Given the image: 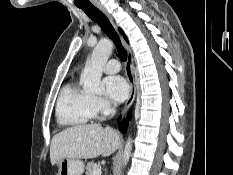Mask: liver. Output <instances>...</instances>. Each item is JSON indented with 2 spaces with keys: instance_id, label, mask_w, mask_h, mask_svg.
Listing matches in <instances>:
<instances>
[{
  "instance_id": "6515ba94",
  "label": "liver",
  "mask_w": 233,
  "mask_h": 175,
  "mask_svg": "<svg viewBox=\"0 0 233 175\" xmlns=\"http://www.w3.org/2000/svg\"><path fill=\"white\" fill-rule=\"evenodd\" d=\"M120 145V135L111 127L100 124L76 125L56 134L50 145L54 165L62 158L90 159L113 154Z\"/></svg>"
}]
</instances>
